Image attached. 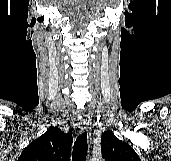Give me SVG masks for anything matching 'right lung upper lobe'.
Returning <instances> with one entry per match:
<instances>
[{
    "label": "right lung upper lobe",
    "instance_id": "obj_1",
    "mask_svg": "<svg viewBox=\"0 0 171 161\" xmlns=\"http://www.w3.org/2000/svg\"><path fill=\"white\" fill-rule=\"evenodd\" d=\"M72 142L71 134L51 127L22 151L18 161H70Z\"/></svg>",
    "mask_w": 171,
    "mask_h": 161
}]
</instances>
